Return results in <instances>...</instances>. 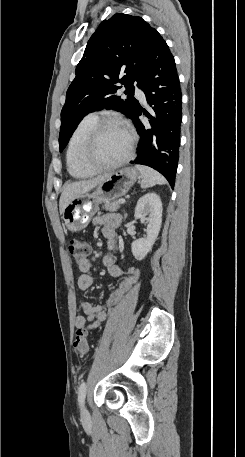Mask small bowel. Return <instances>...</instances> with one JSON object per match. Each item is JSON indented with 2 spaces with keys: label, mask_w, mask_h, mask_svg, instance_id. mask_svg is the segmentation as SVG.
<instances>
[{
  "label": "small bowel",
  "mask_w": 245,
  "mask_h": 457,
  "mask_svg": "<svg viewBox=\"0 0 245 457\" xmlns=\"http://www.w3.org/2000/svg\"><path fill=\"white\" fill-rule=\"evenodd\" d=\"M94 224L101 227L103 236L109 241L110 246H112L116 229L121 224V216L116 213H107L96 217ZM103 264L110 276L122 277L123 279L105 304L93 305L86 301L80 303L84 315H77L75 318V326L78 329L92 330L102 324L107 317L106 308L120 302L123 296L139 279L140 271L137 268L130 267L128 269H122L116 263L115 257L112 254H106L103 257ZM90 268L91 263L88 259L78 262V269L81 274L78 277L77 285L82 291L90 289L93 284V278L89 274Z\"/></svg>",
  "instance_id": "obj_1"
}]
</instances>
